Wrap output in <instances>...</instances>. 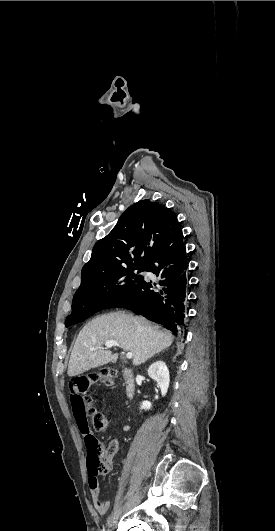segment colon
<instances>
[{
  "instance_id": "5ec220e1",
  "label": "colon",
  "mask_w": 275,
  "mask_h": 531,
  "mask_svg": "<svg viewBox=\"0 0 275 531\" xmlns=\"http://www.w3.org/2000/svg\"><path fill=\"white\" fill-rule=\"evenodd\" d=\"M92 380L93 382L98 381V382H101L102 384L110 385L115 382V376L113 372H111L108 369H102L98 373H92L91 376L89 375L82 376L81 377V389L83 390L84 393L92 392ZM85 399H86V404H85L86 413L85 414L86 416H89L93 408L92 401H94V396L85 395ZM92 421H93L94 429L101 434L106 433L107 430L109 429V419L107 415L96 409L93 412ZM116 449H117L116 442L108 443L104 448V454L111 456L116 451ZM110 465L111 463L109 461L103 460L97 469L98 471L101 469H105V471H108Z\"/></svg>"
}]
</instances>
